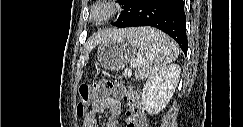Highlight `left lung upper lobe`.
<instances>
[{
    "label": "left lung upper lobe",
    "mask_w": 243,
    "mask_h": 127,
    "mask_svg": "<svg viewBox=\"0 0 243 127\" xmlns=\"http://www.w3.org/2000/svg\"><path fill=\"white\" fill-rule=\"evenodd\" d=\"M128 0H118L119 3L124 4Z\"/></svg>",
    "instance_id": "5c2ea615"
}]
</instances>
